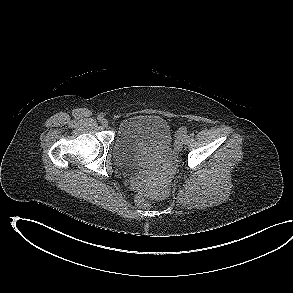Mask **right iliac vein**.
<instances>
[{"mask_svg":"<svg viewBox=\"0 0 293 293\" xmlns=\"http://www.w3.org/2000/svg\"><path fill=\"white\" fill-rule=\"evenodd\" d=\"M101 124H102L104 127H108L109 122H108L107 119H103V120L101 121Z\"/></svg>","mask_w":293,"mask_h":293,"instance_id":"obj_1","label":"right iliac vein"}]
</instances>
